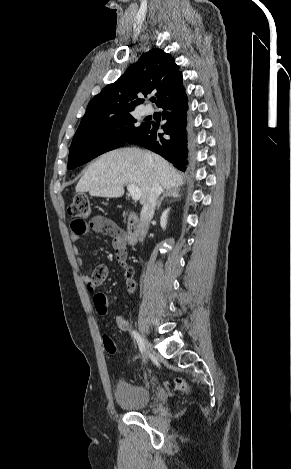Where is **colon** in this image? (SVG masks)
Masks as SVG:
<instances>
[{
	"instance_id": "5ec220e1",
	"label": "colon",
	"mask_w": 291,
	"mask_h": 469,
	"mask_svg": "<svg viewBox=\"0 0 291 469\" xmlns=\"http://www.w3.org/2000/svg\"><path fill=\"white\" fill-rule=\"evenodd\" d=\"M69 214L82 222L84 219L88 218L91 214V206L88 197L83 194L76 195L69 207ZM124 257V252H119L117 254V259L123 268L124 277L128 281V283L132 284L134 270L125 262ZM110 302L111 299L109 293H104L102 290H97L95 292V297L92 299L94 311L96 313H103L102 317L106 318L107 314L105 312L110 310V307L108 306ZM102 339L106 352H108L109 354L116 353L117 347L114 341L107 334H104ZM175 386L178 390L182 392H188V385L182 378L176 379Z\"/></svg>"
}]
</instances>
